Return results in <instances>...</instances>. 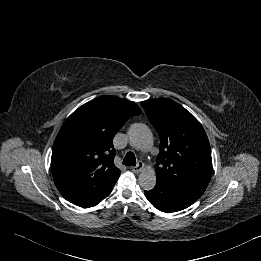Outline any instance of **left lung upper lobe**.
Wrapping results in <instances>:
<instances>
[{
	"instance_id": "left-lung-upper-lobe-1",
	"label": "left lung upper lobe",
	"mask_w": 261,
	"mask_h": 261,
	"mask_svg": "<svg viewBox=\"0 0 261 261\" xmlns=\"http://www.w3.org/2000/svg\"><path fill=\"white\" fill-rule=\"evenodd\" d=\"M141 105L160 137L157 182L203 194L211 178L212 159L200 122L171 99H149Z\"/></svg>"
}]
</instances>
